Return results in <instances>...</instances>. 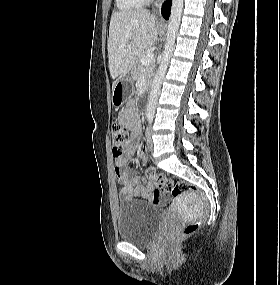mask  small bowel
<instances>
[{
	"mask_svg": "<svg viewBox=\"0 0 280 285\" xmlns=\"http://www.w3.org/2000/svg\"><path fill=\"white\" fill-rule=\"evenodd\" d=\"M122 123L135 135L137 136L140 131V122L137 117H126L121 116ZM137 150V143L131 142L127 149L126 154L119 156L115 161V178L118 183L122 184V188L119 193L121 201H127L133 197H139L148 199L154 204H164L167 199L158 192L151 182L140 184L144 182V179L132 177L131 171L127 169L128 157L134 155ZM142 161L146 159L145 156L141 157Z\"/></svg>",
	"mask_w": 280,
	"mask_h": 285,
	"instance_id": "1",
	"label": "small bowel"
}]
</instances>
